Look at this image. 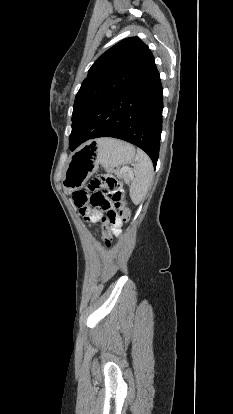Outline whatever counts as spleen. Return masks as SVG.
<instances>
[{"label": "spleen", "mask_w": 233, "mask_h": 414, "mask_svg": "<svg viewBox=\"0 0 233 414\" xmlns=\"http://www.w3.org/2000/svg\"><path fill=\"white\" fill-rule=\"evenodd\" d=\"M153 164L149 156L137 149V162L134 163V179L130 185V197L138 205L147 195L153 181Z\"/></svg>", "instance_id": "obj_1"}]
</instances>
